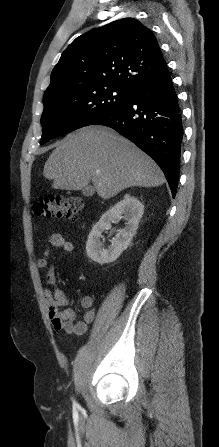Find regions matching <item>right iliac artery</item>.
Instances as JSON below:
<instances>
[{"mask_svg": "<svg viewBox=\"0 0 219 447\" xmlns=\"http://www.w3.org/2000/svg\"><path fill=\"white\" fill-rule=\"evenodd\" d=\"M74 406H77V404L74 402Z\"/></svg>", "mask_w": 219, "mask_h": 447, "instance_id": "1", "label": "right iliac artery"}]
</instances>
